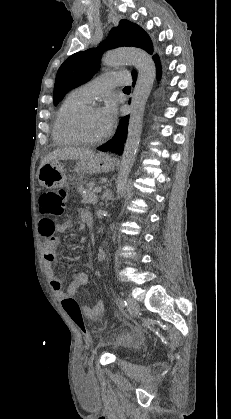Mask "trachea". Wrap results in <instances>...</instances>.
I'll list each match as a JSON object with an SVG mask.
<instances>
[{"label": "trachea", "mask_w": 231, "mask_h": 419, "mask_svg": "<svg viewBox=\"0 0 231 419\" xmlns=\"http://www.w3.org/2000/svg\"><path fill=\"white\" fill-rule=\"evenodd\" d=\"M124 90H131V87L130 86H126V87H124Z\"/></svg>", "instance_id": "3493384b"}]
</instances>
